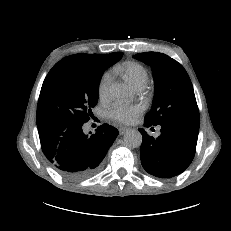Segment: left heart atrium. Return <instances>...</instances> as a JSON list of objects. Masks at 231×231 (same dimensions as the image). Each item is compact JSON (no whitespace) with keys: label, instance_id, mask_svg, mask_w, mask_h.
Here are the masks:
<instances>
[{"label":"left heart atrium","instance_id":"left-heart-atrium-1","mask_svg":"<svg viewBox=\"0 0 231 231\" xmlns=\"http://www.w3.org/2000/svg\"><path fill=\"white\" fill-rule=\"evenodd\" d=\"M141 109L136 105L115 104L109 111V115L120 123H130L139 113Z\"/></svg>","mask_w":231,"mask_h":231}]
</instances>
